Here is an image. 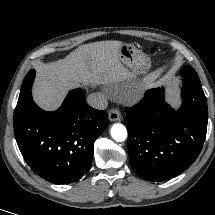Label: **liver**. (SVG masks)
I'll list each match as a JSON object with an SVG mask.
<instances>
[{
	"label": "liver",
	"instance_id": "obj_1",
	"mask_svg": "<svg viewBox=\"0 0 215 215\" xmlns=\"http://www.w3.org/2000/svg\"><path fill=\"white\" fill-rule=\"evenodd\" d=\"M121 41H100L79 46L64 59L39 67L33 95L45 110L56 109L68 88L129 83L135 75L119 59Z\"/></svg>",
	"mask_w": 215,
	"mask_h": 215
}]
</instances>
